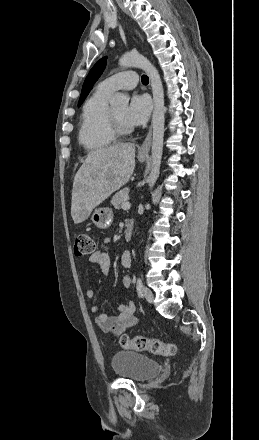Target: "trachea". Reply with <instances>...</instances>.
<instances>
[{
  "label": "trachea",
  "mask_w": 259,
  "mask_h": 440,
  "mask_svg": "<svg viewBox=\"0 0 259 440\" xmlns=\"http://www.w3.org/2000/svg\"><path fill=\"white\" fill-rule=\"evenodd\" d=\"M141 80H142V83H143V84H148V82H149V78H148V76H146V75H143L142 78H141Z\"/></svg>",
  "instance_id": "1"
}]
</instances>
